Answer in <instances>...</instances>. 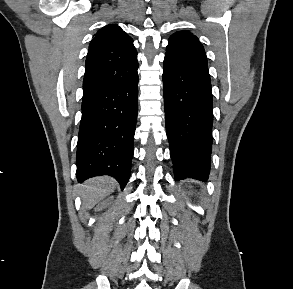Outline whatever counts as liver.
Wrapping results in <instances>:
<instances>
[{"label":"liver","instance_id":"obj_1","mask_svg":"<svg viewBox=\"0 0 293 289\" xmlns=\"http://www.w3.org/2000/svg\"><path fill=\"white\" fill-rule=\"evenodd\" d=\"M116 188V181L110 177H96L80 187V196L85 209H91Z\"/></svg>","mask_w":293,"mask_h":289}]
</instances>
